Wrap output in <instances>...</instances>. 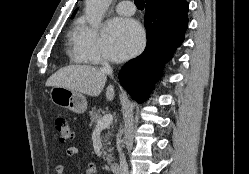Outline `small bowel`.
Returning a JSON list of instances; mask_svg holds the SVG:
<instances>
[{"label": "small bowel", "mask_w": 249, "mask_h": 174, "mask_svg": "<svg viewBox=\"0 0 249 174\" xmlns=\"http://www.w3.org/2000/svg\"><path fill=\"white\" fill-rule=\"evenodd\" d=\"M80 149L78 147H69L66 150L68 157H75L80 154ZM85 164V174H97V167L94 161L89 159L86 155H83ZM65 168L63 165L56 166V174H64Z\"/></svg>", "instance_id": "1"}]
</instances>
